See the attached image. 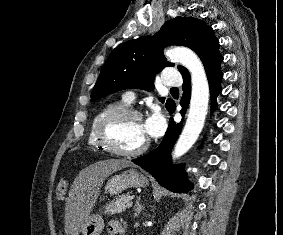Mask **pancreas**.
Wrapping results in <instances>:
<instances>
[{"instance_id":"pancreas-1","label":"pancreas","mask_w":283,"mask_h":235,"mask_svg":"<svg viewBox=\"0 0 283 235\" xmlns=\"http://www.w3.org/2000/svg\"><path fill=\"white\" fill-rule=\"evenodd\" d=\"M133 196L129 193L123 194L116 198V200L111 201L105 207V214H116L124 212L127 204L132 200Z\"/></svg>"}]
</instances>
